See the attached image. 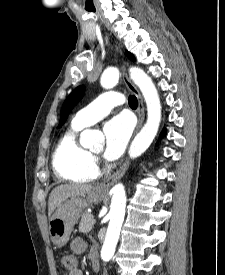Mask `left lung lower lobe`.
Returning a JSON list of instances; mask_svg holds the SVG:
<instances>
[{
	"instance_id": "obj_1",
	"label": "left lung lower lobe",
	"mask_w": 225,
	"mask_h": 275,
	"mask_svg": "<svg viewBox=\"0 0 225 275\" xmlns=\"http://www.w3.org/2000/svg\"><path fill=\"white\" fill-rule=\"evenodd\" d=\"M161 135H162V136H164V135H165V130H163V131H162Z\"/></svg>"
}]
</instances>
